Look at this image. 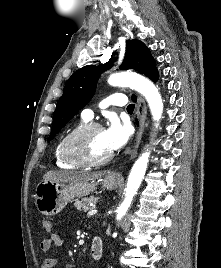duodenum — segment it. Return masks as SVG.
<instances>
[{"mask_svg": "<svg viewBox=\"0 0 221 268\" xmlns=\"http://www.w3.org/2000/svg\"><path fill=\"white\" fill-rule=\"evenodd\" d=\"M91 257L94 260H99L102 258L104 253V244L101 237L96 236L92 240L91 249H90Z\"/></svg>", "mask_w": 221, "mask_h": 268, "instance_id": "duodenum-1", "label": "duodenum"}]
</instances>
